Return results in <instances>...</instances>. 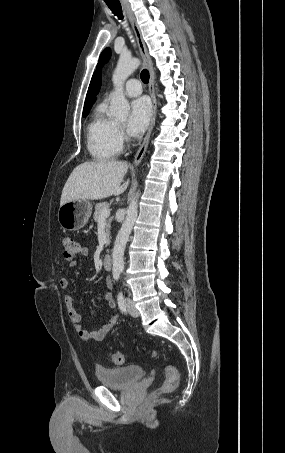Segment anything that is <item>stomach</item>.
Wrapping results in <instances>:
<instances>
[{
    "instance_id": "stomach-1",
    "label": "stomach",
    "mask_w": 285,
    "mask_h": 453,
    "mask_svg": "<svg viewBox=\"0 0 285 453\" xmlns=\"http://www.w3.org/2000/svg\"><path fill=\"white\" fill-rule=\"evenodd\" d=\"M91 214V202L86 199H79L61 205L57 217L64 230L76 231L85 226Z\"/></svg>"
}]
</instances>
